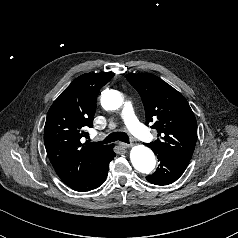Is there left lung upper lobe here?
Wrapping results in <instances>:
<instances>
[{"mask_svg": "<svg viewBox=\"0 0 238 238\" xmlns=\"http://www.w3.org/2000/svg\"><path fill=\"white\" fill-rule=\"evenodd\" d=\"M138 91L146 113V125L158 132V139L147 144L154 153L191 159L197 139L196 118L185 97L153 74H127Z\"/></svg>", "mask_w": 238, "mask_h": 238, "instance_id": "1", "label": "left lung upper lobe"}]
</instances>
